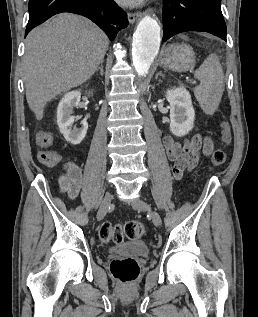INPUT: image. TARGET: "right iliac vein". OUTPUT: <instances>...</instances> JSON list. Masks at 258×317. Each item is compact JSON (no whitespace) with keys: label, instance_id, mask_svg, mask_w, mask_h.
Segmentation results:
<instances>
[{"label":"right iliac vein","instance_id":"obj_1","mask_svg":"<svg viewBox=\"0 0 258 317\" xmlns=\"http://www.w3.org/2000/svg\"><path fill=\"white\" fill-rule=\"evenodd\" d=\"M111 200H112V194L110 192H107L103 200L100 202V206L98 211L96 212V217L98 218V221H103V218L107 214L108 209L111 207Z\"/></svg>","mask_w":258,"mask_h":317}]
</instances>
